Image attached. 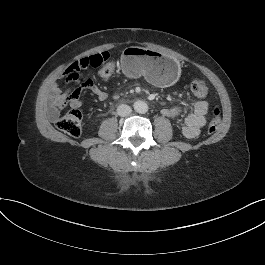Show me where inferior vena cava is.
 I'll return each instance as SVG.
<instances>
[{"label":"inferior vena cava","mask_w":265,"mask_h":265,"mask_svg":"<svg viewBox=\"0 0 265 265\" xmlns=\"http://www.w3.org/2000/svg\"><path fill=\"white\" fill-rule=\"evenodd\" d=\"M132 112V109L130 106L126 105V104H121L117 107V113L119 116H127Z\"/></svg>","instance_id":"602c4592"}]
</instances>
